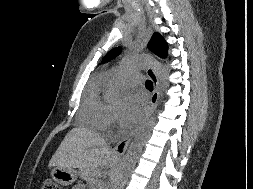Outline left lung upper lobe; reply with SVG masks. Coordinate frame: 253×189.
<instances>
[{
	"instance_id": "1",
	"label": "left lung upper lobe",
	"mask_w": 253,
	"mask_h": 189,
	"mask_svg": "<svg viewBox=\"0 0 253 189\" xmlns=\"http://www.w3.org/2000/svg\"><path fill=\"white\" fill-rule=\"evenodd\" d=\"M148 48L153 51L159 57L165 58L167 56L168 45L164 38L158 34L154 33L151 40L149 41ZM121 48L117 47L112 49L102 60V62L109 61L119 55Z\"/></svg>"
}]
</instances>
